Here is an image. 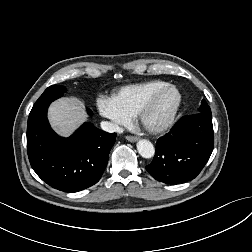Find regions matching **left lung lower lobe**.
I'll list each match as a JSON object with an SVG mask.
<instances>
[{"instance_id":"0a47b994","label":"left lung lower lobe","mask_w":252,"mask_h":252,"mask_svg":"<svg viewBox=\"0 0 252 252\" xmlns=\"http://www.w3.org/2000/svg\"><path fill=\"white\" fill-rule=\"evenodd\" d=\"M213 147L212 115L184 116L168 134L158 139L153 161L145 168L163 183H184L200 173Z\"/></svg>"}]
</instances>
